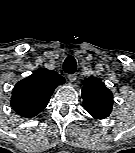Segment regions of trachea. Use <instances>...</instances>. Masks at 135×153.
<instances>
[{
    "mask_svg": "<svg viewBox=\"0 0 135 153\" xmlns=\"http://www.w3.org/2000/svg\"><path fill=\"white\" fill-rule=\"evenodd\" d=\"M77 68L76 60L73 56H68L63 63V69L66 73L73 74Z\"/></svg>",
    "mask_w": 135,
    "mask_h": 153,
    "instance_id": "1",
    "label": "trachea"
}]
</instances>
